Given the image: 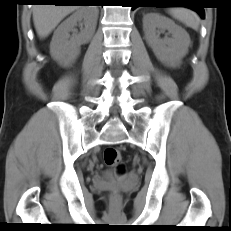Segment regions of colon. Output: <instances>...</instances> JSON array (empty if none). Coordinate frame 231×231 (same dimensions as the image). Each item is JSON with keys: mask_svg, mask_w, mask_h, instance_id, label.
Masks as SVG:
<instances>
[{"mask_svg": "<svg viewBox=\"0 0 231 231\" xmlns=\"http://www.w3.org/2000/svg\"><path fill=\"white\" fill-rule=\"evenodd\" d=\"M103 156L108 166L117 167L119 170L122 169V155L118 149L108 147L105 149Z\"/></svg>", "mask_w": 231, "mask_h": 231, "instance_id": "colon-1", "label": "colon"}]
</instances>
